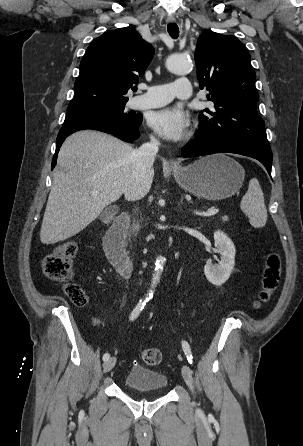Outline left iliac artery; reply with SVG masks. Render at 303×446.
I'll return each instance as SVG.
<instances>
[{
	"label": "left iliac artery",
	"mask_w": 303,
	"mask_h": 446,
	"mask_svg": "<svg viewBox=\"0 0 303 446\" xmlns=\"http://www.w3.org/2000/svg\"><path fill=\"white\" fill-rule=\"evenodd\" d=\"M182 348H183V351H184V353L186 355V358H187L188 362L190 364H192L193 356H192V353H191L190 346H189V344L186 341H182Z\"/></svg>",
	"instance_id": "left-iliac-artery-1"
}]
</instances>
